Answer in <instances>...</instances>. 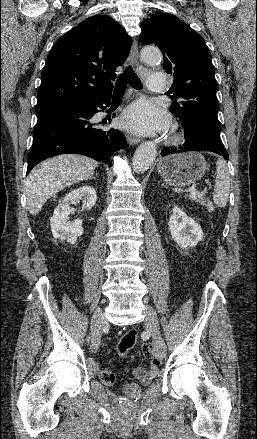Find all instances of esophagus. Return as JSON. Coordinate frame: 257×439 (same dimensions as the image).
I'll return each mask as SVG.
<instances>
[{"label": "esophagus", "instance_id": "obj_1", "mask_svg": "<svg viewBox=\"0 0 257 439\" xmlns=\"http://www.w3.org/2000/svg\"><path fill=\"white\" fill-rule=\"evenodd\" d=\"M129 59H130L132 64H134V65L138 64L139 53H138V45H137L136 39H134L132 42V47H131ZM126 139L130 145H136L141 141L140 138L133 136V135H130V134L126 135Z\"/></svg>", "mask_w": 257, "mask_h": 439}]
</instances>
